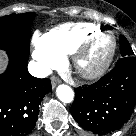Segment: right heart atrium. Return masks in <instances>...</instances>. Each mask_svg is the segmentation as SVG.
Masks as SVG:
<instances>
[{
	"mask_svg": "<svg viewBox=\"0 0 136 136\" xmlns=\"http://www.w3.org/2000/svg\"><path fill=\"white\" fill-rule=\"evenodd\" d=\"M32 41L34 46L33 58L42 71L46 72L62 63L63 56L45 43L43 35L35 33Z\"/></svg>",
	"mask_w": 136,
	"mask_h": 136,
	"instance_id": "right-heart-atrium-1",
	"label": "right heart atrium"
}]
</instances>
